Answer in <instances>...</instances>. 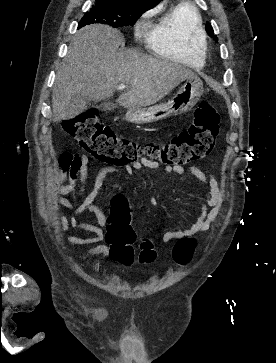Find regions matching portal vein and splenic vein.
<instances>
[{
    "mask_svg": "<svg viewBox=\"0 0 276 363\" xmlns=\"http://www.w3.org/2000/svg\"><path fill=\"white\" fill-rule=\"evenodd\" d=\"M126 88V86L124 85V84H121L120 86H118V89H125Z\"/></svg>",
    "mask_w": 276,
    "mask_h": 363,
    "instance_id": "portal-vein-and-splenic-vein-1",
    "label": "portal vein and splenic vein"
}]
</instances>
